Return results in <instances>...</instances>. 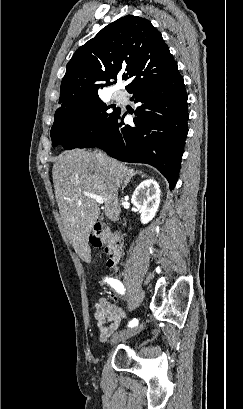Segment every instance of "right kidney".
<instances>
[{
    "mask_svg": "<svg viewBox=\"0 0 243 409\" xmlns=\"http://www.w3.org/2000/svg\"><path fill=\"white\" fill-rule=\"evenodd\" d=\"M160 193L159 184L153 179L144 180L134 191L131 201L141 211L143 224L155 217L160 204Z\"/></svg>",
    "mask_w": 243,
    "mask_h": 409,
    "instance_id": "ca27d5eb",
    "label": "right kidney"
}]
</instances>
